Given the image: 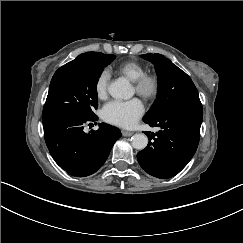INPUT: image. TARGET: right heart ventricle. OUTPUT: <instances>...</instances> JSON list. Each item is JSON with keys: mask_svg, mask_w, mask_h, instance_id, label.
Here are the masks:
<instances>
[{"mask_svg": "<svg viewBox=\"0 0 243 243\" xmlns=\"http://www.w3.org/2000/svg\"><path fill=\"white\" fill-rule=\"evenodd\" d=\"M116 71L126 76L132 82H135L144 72H146V67L140 61L127 60L119 64Z\"/></svg>", "mask_w": 243, "mask_h": 243, "instance_id": "right-heart-ventricle-1", "label": "right heart ventricle"}]
</instances>
